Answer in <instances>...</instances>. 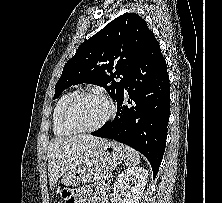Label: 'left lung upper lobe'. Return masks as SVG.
Returning a JSON list of instances; mask_svg holds the SVG:
<instances>
[{
    "instance_id": "obj_1",
    "label": "left lung upper lobe",
    "mask_w": 222,
    "mask_h": 203,
    "mask_svg": "<svg viewBox=\"0 0 222 203\" xmlns=\"http://www.w3.org/2000/svg\"><path fill=\"white\" fill-rule=\"evenodd\" d=\"M150 32L146 21L135 13H126L111 21L81 43L64 65L55 85L54 99L72 85L90 83L104 87L116 100L142 57ZM117 78L121 80L115 81Z\"/></svg>"
}]
</instances>
